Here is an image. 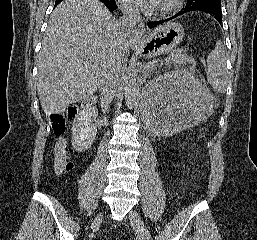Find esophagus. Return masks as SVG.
<instances>
[{
	"label": "esophagus",
	"mask_w": 257,
	"mask_h": 240,
	"mask_svg": "<svg viewBox=\"0 0 257 240\" xmlns=\"http://www.w3.org/2000/svg\"><path fill=\"white\" fill-rule=\"evenodd\" d=\"M144 32V24L141 22L134 27L130 36V42L138 44L142 41V35Z\"/></svg>",
	"instance_id": "obj_1"
}]
</instances>
